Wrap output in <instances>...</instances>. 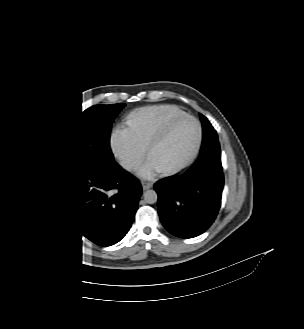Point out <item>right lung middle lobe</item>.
<instances>
[{
    "instance_id": "obj_1",
    "label": "right lung middle lobe",
    "mask_w": 304,
    "mask_h": 329,
    "mask_svg": "<svg viewBox=\"0 0 304 329\" xmlns=\"http://www.w3.org/2000/svg\"><path fill=\"white\" fill-rule=\"evenodd\" d=\"M124 106V103L94 105L75 117L60 142L59 170L116 164L110 149L111 124Z\"/></svg>"
}]
</instances>
